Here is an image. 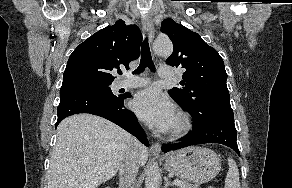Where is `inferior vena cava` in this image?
Returning a JSON list of instances; mask_svg holds the SVG:
<instances>
[{"label":"inferior vena cava","mask_w":292,"mask_h":188,"mask_svg":"<svg viewBox=\"0 0 292 188\" xmlns=\"http://www.w3.org/2000/svg\"><path fill=\"white\" fill-rule=\"evenodd\" d=\"M142 145L136 140L132 139L126 156L122 160L119 167L120 188H132L136 174L139 168V156Z\"/></svg>","instance_id":"602c4592"}]
</instances>
